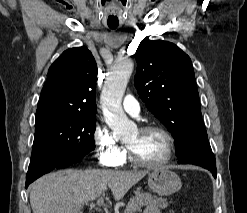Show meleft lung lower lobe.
<instances>
[{
  "label": "left lung lower lobe",
  "instance_id": "0a47b994",
  "mask_svg": "<svg viewBox=\"0 0 247 213\" xmlns=\"http://www.w3.org/2000/svg\"><path fill=\"white\" fill-rule=\"evenodd\" d=\"M179 164H194L212 172L216 178V161L208 137L195 139L189 149L179 157Z\"/></svg>",
  "mask_w": 247,
  "mask_h": 213
}]
</instances>
